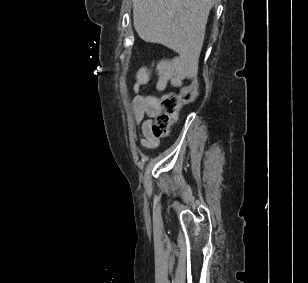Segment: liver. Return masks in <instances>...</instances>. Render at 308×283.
Listing matches in <instances>:
<instances>
[{
    "instance_id": "liver-1",
    "label": "liver",
    "mask_w": 308,
    "mask_h": 283,
    "mask_svg": "<svg viewBox=\"0 0 308 283\" xmlns=\"http://www.w3.org/2000/svg\"><path fill=\"white\" fill-rule=\"evenodd\" d=\"M215 0H132L134 26L145 42L197 61Z\"/></svg>"
}]
</instances>
